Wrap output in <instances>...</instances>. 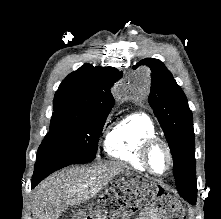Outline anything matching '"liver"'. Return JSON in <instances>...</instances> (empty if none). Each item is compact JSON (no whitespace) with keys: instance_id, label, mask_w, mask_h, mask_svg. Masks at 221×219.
I'll use <instances>...</instances> for the list:
<instances>
[{"instance_id":"6515ba94","label":"liver","mask_w":221,"mask_h":219,"mask_svg":"<svg viewBox=\"0 0 221 219\" xmlns=\"http://www.w3.org/2000/svg\"><path fill=\"white\" fill-rule=\"evenodd\" d=\"M127 167L118 162L91 167H75L54 173L34 190L33 219H58L69 207L95 197Z\"/></svg>"}]
</instances>
